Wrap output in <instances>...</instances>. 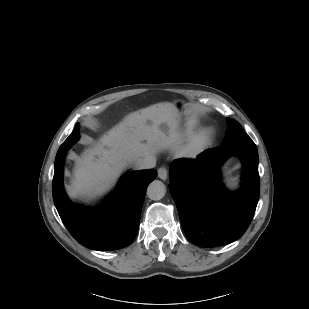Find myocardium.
<instances>
[{
    "mask_svg": "<svg viewBox=\"0 0 309 309\" xmlns=\"http://www.w3.org/2000/svg\"><path fill=\"white\" fill-rule=\"evenodd\" d=\"M214 137L215 130L213 127H204L195 131L183 148V157L188 160L198 159L207 151Z\"/></svg>",
    "mask_w": 309,
    "mask_h": 309,
    "instance_id": "f54148a6",
    "label": "myocardium"
}]
</instances>
